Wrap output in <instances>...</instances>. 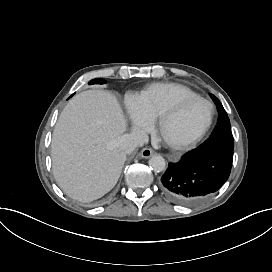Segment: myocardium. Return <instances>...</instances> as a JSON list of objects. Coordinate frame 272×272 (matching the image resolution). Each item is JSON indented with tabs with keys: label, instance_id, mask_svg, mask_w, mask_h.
I'll return each mask as SVG.
<instances>
[{
	"label": "myocardium",
	"instance_id": "myocardium-1",
	"mask_svg": "<svg viewBox=\"0 0 272 272\" xmlns=\"http://www.w3.org/2000/svg\"><path fill=\"white\" fill-rule=\"evenodd\" d=\"M193 102H201L206 106V109H207L206 120L200 128H198L197 130H195L194 132H192L190 134H184V135L175 134L173 136V140L176 142V144H178L180 146H185V145L192 143L193 141L200 138L209 129V127L212 123V120H213V115H214L213 104L209 100H207L206 98L199 96V95L184 97L176 105H174L171 114L168 115V114L164 113L161 116L162 117L161 130L166 137H169V133H168L169 117H171V116L174 117V116L182 113L185 110V108Z\"/></svg>",
	"mask_w": 272,
	"mask_h": 272
}]
</instances>
